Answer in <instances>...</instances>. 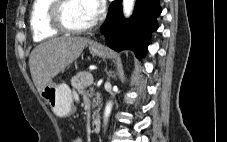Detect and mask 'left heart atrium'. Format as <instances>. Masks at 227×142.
<instances>
[{"mask_svg": "<svg viewBox=\"0 0 227 142\" xmlns=\"http://www.w3.org/2000/svg\"><path fill=\"white\" fill-rule=\"evenodd\" d=\"M84 2L94 20L102 14L104 0H84Z\"/></svg>", "mask_w": 227, "mask_h": 142, "instance_id": "1", "label": "left heart atrium"}]
</instances>
